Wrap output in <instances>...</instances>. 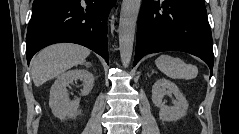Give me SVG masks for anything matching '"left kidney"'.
<instances>
[{"label":"left kidney","instance_id":"1","mask_svg":"<svg viewBox=\"0 0 239 134\" xmlns=\"http://www.w3.org/2000/svg\"><path fill=\"white\" fill-rule=\"evenodd\" d=\"M166 94H173L176 97L174 106H167L163 102ZM153 104L160 108L159 117L162 121H177L186 115L188 102L182 92L173 82L160 78L152 86Z\"/></svg>","mask_w":239,"mask_h":134}]
</instances>
